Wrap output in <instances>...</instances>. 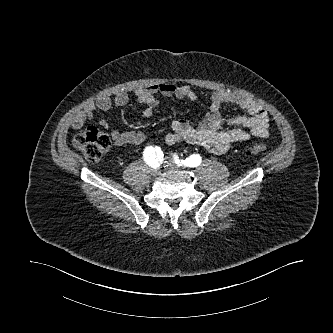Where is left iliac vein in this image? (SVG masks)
<instances>
[{
    "instance_id": "left-iliac-vein-1",
    "label": "left iliac vein",
    "mask_w": 333,
    "mask_h": 333,
    "mask_svg": "<svg viewBox=\"0 0 333 333\" xmlns=\"http://www.w3.org/2000/svg\"><path fill=\"white\" fill-rule=\"evenodd\" d=\"M164 167L168 169H173L175 167V164L171 161L164 162Z\"/></svg>"
}]
</instances>
